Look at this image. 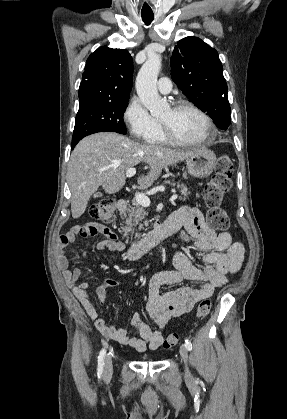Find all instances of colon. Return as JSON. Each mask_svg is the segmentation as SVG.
<instances>
[{
  "instance_id": "obj_1",
  "label": "colon",
  "mask_w": 287,
  "mask_h": 419,
  "mask_svg": "<svg viewBox=\"0 0 287 419\" xmlns=\"http://www.w3.org/2000/svg\"><path fill=\"white\" fill-rule=\"evenodd\" d=\"M233 162L228 155H221L217 159L216 171L211 181L206 185L204 199L207 211V219L210 227L215 230H226L229 227V218L221 207L223 196L230 190L232 185ZM91 216L107 224L116 221V205L112 198H103L91 209ZM212 303L209 299L200 301L197 307V317L204 319L211 310ZM180 340L177 333L169 334L163 341L162 346L170 349Z\"/></svg>"
}]
</instances>
